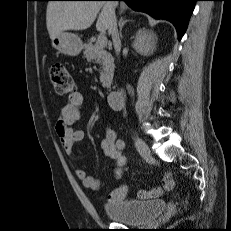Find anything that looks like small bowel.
Wrapping results in <instances>:
<instances>
[{
    "instance_id": "1",
    "label": "small bowel",
    "mask_w": 231,
    "mask_h": 231,
    "mask_svg": "<svg viewBox=\"0 0 231 231\" xmlns=\"http://www.w3.org/2000/svg\"><path fill=\"white\" fill-rule=\"evenodd\" d=\"M83 103L84 98L81 93L76 92L70 95L68 101L61 107L54 125L55 133L70 160H74V145L84 138V131L73 126L81 119ZM99 145L104 154L116 162L114 175L116 178H120L126 158L120 149V139L117 138L116 132L110 126L106 127L105 136L99 141ZM75 173L85 187L95 191L100 189L99 180L85 170L77 169ZM174 186L175 180L172 174L166 173L161 185L149 191H141L139 197L143 199L161 197ZM127 191L126 185H120L108 194L107 201L110 204L119 203L126 198Z\"/></svg>"
}]
</instances>
